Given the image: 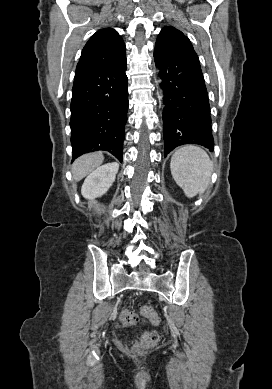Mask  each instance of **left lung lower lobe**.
I'll return each mask as SVG.
<instances>
[{
  "instance_id": "obj_1",
  "label": "left lung lower lobe",
  "mask_w": 272,
  "mask_h": 389,
  "mask_svg": "<svg viewBox=\"0 0 272 389\" xmlns=\"http://www.w3.org/2000/svg\"><path fill=\"white\" fill-rule=\"evenodd\" d=\"M154 57L165 93L164 155L189 143L213 151L208 93L199 61L167 56L156 49Z\"/></svg>"
}]
</instances>
